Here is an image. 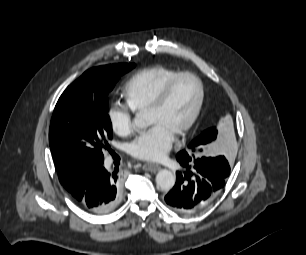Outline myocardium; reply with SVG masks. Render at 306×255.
I'll list each match as a JSON object with an SVG mask.
<instances>
[{"mask_svg": "<svg viewBox=\"0 0 306 255\" xmlns=\"http://www.w3.org/2000/svg\"><path fill=\"white\" fill-rule=\"evenodd\" d=\"M183 77H191L194 80H196V82L199 85L200 93H199V99H198V102H197V105L195 107L193 114L191 115L189 120L175 133L174 135L175 137H181L184 134H186L194 126V124L197 122L201 114V111L204 105V101H205V87H204L202 80L200 79L198 75H196L193 72H189V71L179 72L163 86V88L158 92V94L155 96V98L152 100V102L146 109L148 112L159 109L166 101L174 85Z\"/></svg>", "mask_w": 306, "mask_h": 255, "instance_id": "f54148a6", "label": "myocardium"}]
</instances>
